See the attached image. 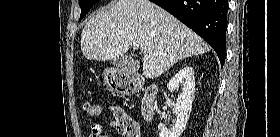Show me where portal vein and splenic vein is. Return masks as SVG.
Here are the masks:
<instances>
[{"mask_svg":"<svg viewBox=\"0 0 280 137\" xmlns=\"http://www.w3.org/2000/svg\"><path fill=\"white\" fill-rule=\"evenodd\" d=\"M133 46H134L135 48H138V47H139V44H138V43H133Z\"/></svg>","mask_w":280,"mask_h":137,"instance_id":"portal-vein-and-splenic-vein-1","label":"portal vein and splenic vein"}]
</instances>
